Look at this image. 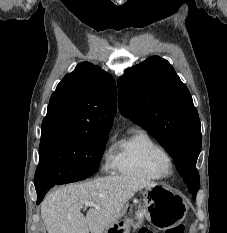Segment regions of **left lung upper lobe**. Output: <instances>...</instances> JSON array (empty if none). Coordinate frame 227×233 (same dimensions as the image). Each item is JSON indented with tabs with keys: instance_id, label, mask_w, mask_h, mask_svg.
<instances>
[{
	"instance_id": "5c2ea615",
	"label": "left lung upper lobe",
	"mask_w": 227,
	"mask_h": 233,
	"mask_svg": "<svg viewBox=\"0 0 227 233\" xmlns=\"http://www.w3.org/2000/svg\"><path fill=\"white\" fill-rule=\"evenodd\" d=\"M118 89L121 114L166 149L195 199L202 139L197 109L186 85L167 60L153 56L128 68L118 79Z\"/></svg>"
}]
</instances>
